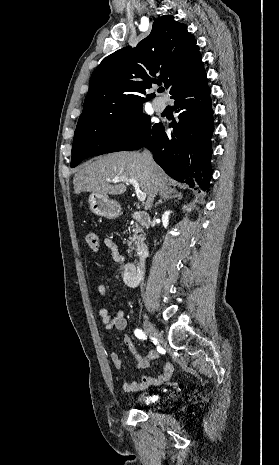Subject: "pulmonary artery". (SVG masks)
<instances>
[{
    "mask_svg": "<svg viewBox=\"0 0 279 465\" xmlns=\"http://www.w3.org/2000/svg\"><path fill=\"white\" fill-rule=\"evenodd\" d=\"M153 106L156 111L162 112L166 108V102L162 98H156L153 101Z\"/></svg>",
    "mask_w": 279,
    "mask_h": 465,
    "instance_id": "e3ab8cb5",
    "label": "pulmonary artery"
}]
</instances>
